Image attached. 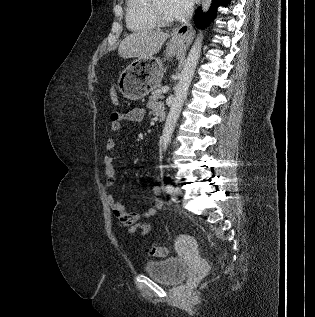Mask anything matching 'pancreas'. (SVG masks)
Returning <instances> with one entry per match:
<instances>
[{"label":"pancreas","instance_id":"pancreas-1","mask_svg":"<svg viewBox=\"0 0 315 317\" xmlns=\"http://www.w3.org/2000/svg\"><path fill=\"white\" fill-rule=\"evenodd\" d=\"M164 96H163V92L161 91L160 88H156L153 92H152V95L150 96V99L151 100H157V99H163Z\"/></svg>","mask_w":315,"mask_h":317}]
</instances>
